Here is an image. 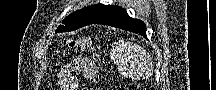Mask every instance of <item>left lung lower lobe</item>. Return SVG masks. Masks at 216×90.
<instances>
[{
    "instance_id": "obj_1",
    "label": "left lung lower lobe",
    "mask_w": 216,
    "mask_h": 90,
    "mask_svg": "<svg viewBox=\"0 0 216 90\" xmlns=\"http://www.w3.org/2000/svg\"><path fill=\"white\" fill-rule=\"evenodd\" d=\"M93 24H104L125 29L146 36V25L139 19L131 18L125 9L119 8Z\"/></svg>"
}]
</instances>
